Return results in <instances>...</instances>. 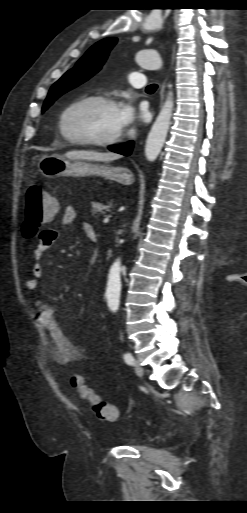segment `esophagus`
<instances>
[{
	"label": "esophagus",
	"mask_w": 247,
	"mask_h": 513,
	"mask_svg": "<svg viewBox=\"0 0 247 513\" xmlns=\"http://www.w3.org/2000/svg\"><path fill=\"white\" fill-rule=\"evenodd\" d=\"M175 60V48L173 46V54H172V64ZM166 81L167 79L162 83L161 87H160V101H161V104L163 102V99H164V91H165V84H166Z\"/></svg>",
	"instance_id": "obj_1"
}]
</instances>
